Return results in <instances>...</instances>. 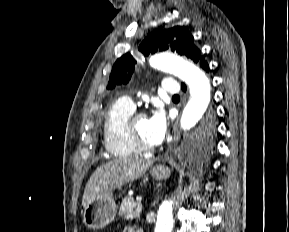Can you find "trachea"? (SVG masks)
Instances as JSON below:
<instances>
[{
	"label": "trachea",
	"mask_w": 289,
	"mask_h": 232,
	"mask_svg": "<svg viewBox=\"0 0 289 232\" xmlns=\"http://www.w3.org/2000/svg\"><path fill=\"white\" fill-rule=\"evenodd\" d=\"M173 98H179V95H174Z\"/></svg>",
	"instance_id": "obj_1"
}]
</instances>
